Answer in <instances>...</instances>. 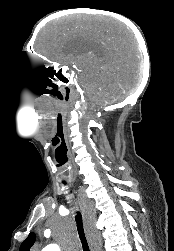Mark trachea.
Returning <instances> with one entry per match:
<instances>
[{"label": "trachea", "mask_w": 174, "mask_h": 251, "mask_svg": "<svg viewBox=\"0 0 174 251\" xmlns=\"http://www.w3.org/2000/svg\"><path fill=\"white\" fill-rule=\"evenodd\" d=\"M76 223H77V230L79 233V237L82 243L83 251H90L89 246L85 237L84 229H83V223H82V217L80 212H77L76 216Z\"/></svg>", "instance_id": "3493384b"}]
</instances>
